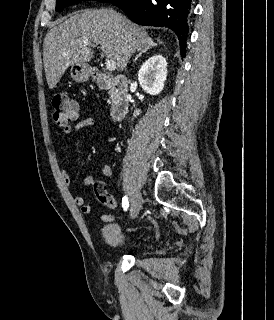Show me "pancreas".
Segmentation results:
<instances>
[{
	"mask_svg": "<svg viewBox=\"0 0 274 320\" xmlns=\"http://www.w3.org/2000/svg\"><path fill=\"white\" fill-rule=\"evenodd\" d=\"M108 94H109V96H113L114 90H109Z\"/></svg>",
	"mask_w": 274,
	"mask_h": 320,
	"instance_id": "cf45deb5",
	"label": "pancreas"
}]
</instances>
